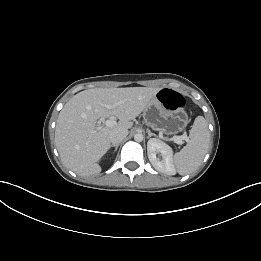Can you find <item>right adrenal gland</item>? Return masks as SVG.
<instances>
[{"mask_svg": "<svg viewBox=\"0 0 261 261\" xmlns=\"http://www.w3.org/2000/svg\"><path fill=\"white\" fill-rule=\"evenodd\" d=\"M111 147H115L114 152H116L117 149H118V147H119V144H112V145H110V148H111Z\"/></svg>", "mask_w": 261, "mask_h": 261, "instance_id": "1", "label": "right adrenal gland"}]
</instances>
